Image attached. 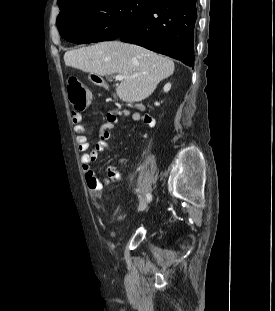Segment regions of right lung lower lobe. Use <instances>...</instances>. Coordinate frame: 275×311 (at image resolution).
<instances>
[{
  "instance_id": "obj_1",
  "label": "right lung lower lobe",
  "mask_w": 275,
  "mask_h": 311,
  "mask_svg": "<svg viewBox=\"0 0 275 311\" xmlns=\"http://www.w3.org/2000/svg\"><path fill=\"white\" fill-rule=\"evenodd\" d=\"M197 0H159L119 34L123 42L143 46L194 67Z\"/></svg>"
}]
</instances>
